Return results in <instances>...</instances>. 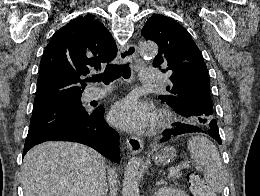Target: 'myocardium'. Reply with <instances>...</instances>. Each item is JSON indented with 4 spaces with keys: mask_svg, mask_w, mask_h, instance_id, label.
Wrapping results in <instances>:
<instances>
[{
    "mask_svg": "<svg viewBox=\"0 0 260 196\" xmlns=\"http://www.w3.org/2000/svg\"><path fill=\"white\" fill-rule=\"evenodd\" d=\"M164 117L161 115L159 116V119H158V125L161 126L163 123H164Z\"/></svg>",
    "mask_w": 260,
    "mask_h": 196,
    "instance_id": "1",
    "label": "myocardium"
}]
</instances>
